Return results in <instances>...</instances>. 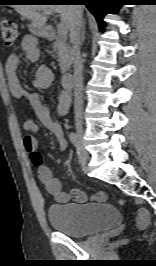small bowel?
<instances>
[{"label":"small bowel","mask_w":156,"mask_h":266,"mask_svg":"<svg viewBox=\"0 0 156 266\" xmlns=\"http://www.w3.org/2000/svg\"><path fill=\"white\" fill-rule=\"evenodd\" d=\"M21 50L26 54L29 60H34L38 56V47L36 40L32 36H25L20 44ZM20 64V57L17 54H11L5 63V74L7 84L11 94L20 101H26L33 109L35 115L56 137L59 144V151H64L67 147L64 129L61 122L52 117L50 110L42 103L37 93L27 92L19 79L18 67ZM53 81V74L46 66H40L36 72L33 85L37 89L48 88ZM70 108V96L66 92H62L58 99L57 112L59 116H65ZM24 129L28 132L23 138V148L26 153L32 158L38 151V142L35 134L39 132V125L31 118H27L23 123ZM37 167V175L41 183L44 185L46 191L51 194L59 203H67L71 200L76 202H85L86 194L80 189H71L69 191H62L60 181L54 177L49 167L43 163ZM93 199L98 202L106 200V195L103 192H98L93 196Z\"/></svg>","instance_id":"small-bowel-1"}]
</instances>
